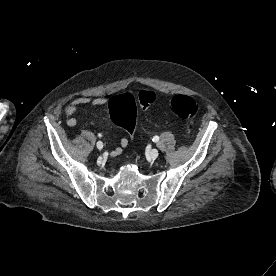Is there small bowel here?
Returning a JSON list of instances; mask_svg holds the SVG:
<instances>
[{
  "mask_svg": "<svg viewBox=\"0 0 276 276\" xmlns=\"http://www.w3.org/2000/svg\"><path fill=\"white\" fill-rule=\"evenodd\" d=\"M107 104V99L105 97H87L81 96L73 99L65 109V113L67 116V124L69 126H75L78 122L75 117V113L82 105H91V106H103ZM128 145V140L126 138H122L118 144V146L109 152L110 157H116L120 155L125 147Z\"/></svg>",
  "mask_w": 276,
  "mask_h": 276,
  "instance_id": "obj_1",
  "label": "small bowel"
}]
</instances>
